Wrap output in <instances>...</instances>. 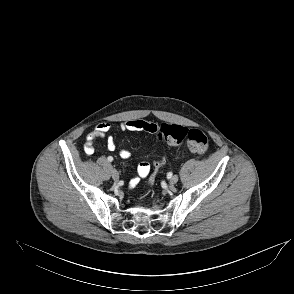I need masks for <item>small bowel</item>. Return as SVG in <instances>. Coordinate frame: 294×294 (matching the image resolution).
Returning <instances> with one entry per match:
<instances>
[{
    "instance_id": "obj_1",
    "label": "small bowel",
    "mask_w": 294,
    "mask_h": 294,
    "mask_svg": "<svg viewBox=\"0 0 294 294\" xmlns=\"http://www.w3.org/2000/svg\"><path fill=\"white\" fill-rule=\"evenodd\" d=\"M148 122L142 120H127L121 123L120 128L123 131H142L146 130ZM109 123H99L94 129L86 136V142L84 145V151L87 155H92L95 151L94 142L100 138H103L110 131ZM107 147L113 151L116 148V142L113 136H107ZM120 156L124 159L130 157V151L128 149H121ZM150 172V165L147 162H141L138 166V176L130 180V187H134L138 184L141 178H145Z\"/></svg>"
}]
</instances>
